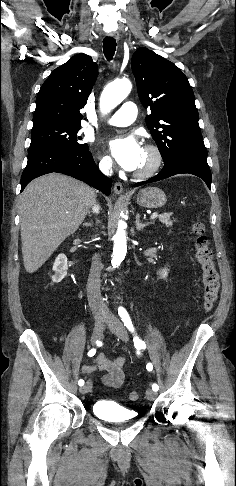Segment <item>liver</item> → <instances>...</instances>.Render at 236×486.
<instances>
[{
    "mask_svg": "<svg viewBox=\"0 0 236 486\" xmlns=\"http://www.w3.org/2000/svg\"><path fill=\"white\" fill-rule=\"evenodd\" d=\"M95 200V191L71 177L50 173L30 182L20 196L24 268L37 271L73 234Z\"/></svg>",
    "mask_w": 236,
    "mask_h": 486,
    "instance_id": "liver-1",
    "label": "liver"
}]
</instances>
